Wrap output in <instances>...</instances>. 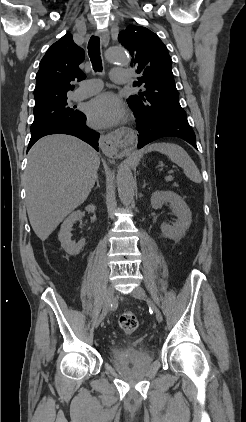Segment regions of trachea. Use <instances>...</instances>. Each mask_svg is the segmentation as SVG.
I'll use <instances>...</instances> for the list:
<instances>
[{"instance_id":"1","label":"trachea","mask_w":246,"mask_h":422,"mask_svg":"<svg viewBox=\"0 0 246 422\" xmlns=\"http://www.w3.org/2000/svg\"><path fill=\"white\" fill-rule=\"evenodd\" d=\"M88 54L94 71H102V60L100 56V39L92 36L88 43Z\"/></svg>"}]
</instances>
